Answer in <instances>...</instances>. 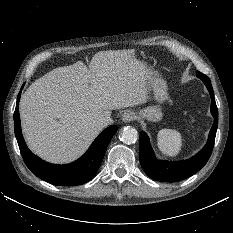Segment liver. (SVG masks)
Wrapping results in <instances>:
<instances>
[{
    "instance_id": "liver-1",
    "label": "liver",
    "mask_w": 233,
    "mask_h": 233,
    "mask_svg": "<svg viewBox=\"0 0 233 233\" xmlns=\"http://www.w3.org/2000/svg\"><path fill=\"white\" fill-rule=\"evenodd\" d=\"M151 73L134 50L100 51L88 67L78 61L53 69L21 96L29 148L52 163L74 161L101 132L100 117L147 102Z\"/></svg>"
}]
</instances>
